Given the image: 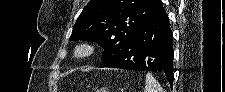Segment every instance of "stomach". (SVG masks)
Here are the masks:
<instances>
[{
  "mask_svg": "<svg viewBox=\"0 0 225 92\" xmlns=\"http://www.w3.org/2000/svg\"><path fill=\"white\" fill-rule=\"evenodd\" d=\"M99 92H107L106 89H101Z\"/></svg>",
  "mask_w": 225,
  "mask_h": 92,
  "instance_id": "stomach-1",
  "label": "stomach"
}]
</instances>
